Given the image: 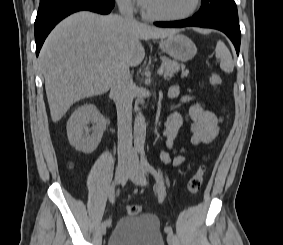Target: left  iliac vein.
<instances>
[{
    "mask_svg": "<svg viewBox=\"0 0 283 245\" xmlns=\"http://www.w3.org/2000/svg\"><path fill=\"white\" fill-rule=\"evenodd\" d=\"M129 164H130V169L128 170L127 175L136 185L145 186L147 184L145 170L140 165L139 159L135 154L132 155ZM167 242L169 245H173L174 243L173 233L167 234Z\"/></svg>",
    "mask_w": 283,
    "mask_h": 245,
    "instance_id": "4c4485c4",
    "label": "left iliac vein"
}]
</instances>
